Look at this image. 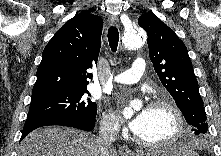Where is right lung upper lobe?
Segmentation results:
<instances>
[{"label":"right lung upper lobe","instance_id":"obj_1","mask_svg":"<svg viewBox=\"0 0 221 156\" xmlns=\"http://www.w3.org/2000/svg\"><path fill=\"white\" fill-rule=\"evenodd\" d=\"M103 20L88 12L68 20L46 45L37 70L32 99L86 89L87 69L97 64Z\"/></svg>","mask_w":221,"mask_h":156}]
</instances>
